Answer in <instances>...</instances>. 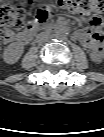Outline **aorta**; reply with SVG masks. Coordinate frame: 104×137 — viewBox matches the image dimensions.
<instances>
[{
  "mask_svg": "<svg viewBox=\"0 0 104 137\" xmlns=\"http://www.w3.org/2000/svg\"><path fill=\"white\" fill-rule=\"evenodd\" d=\"M55 37L58 39H64L66 37V33L62 29L58 30L55 34Z\"/></svg>",
  "mask_w": 104,
  "mask_h": 137,
  "instance_id": "aorta-1",
  "label": "aorta"
}]
</instances>
